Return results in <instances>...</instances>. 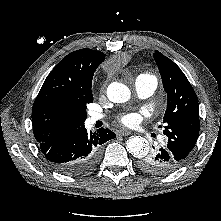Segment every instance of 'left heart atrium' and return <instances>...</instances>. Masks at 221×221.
I'll return each mask as SVG.
<instances>
[{
    "mask_svg": "<svg viewBox=\"0 0 221 221\" xmlns=\"http://www.w3.org/2000/svg\"><path fill=\"white\" fill-rule=\"evenodd\" d=\"M121 122L126 126H133L138 121V116L135 113H128L121 117Z\"/></svg>",
    "mask_w": 221,
    "mask_h": 221,
    "instance_id": "1",
    "label": "left heart atrium"
}]
</instances>
